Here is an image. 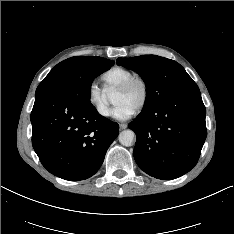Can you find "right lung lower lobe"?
Listing matches in <instances>:
<instances>
[{"mask_svg": "<svg viewBox=\"0 0 234 234\" xmlns=\"http://www.w3.org/2000/svg\"><path fill=\"white\" fill-rule=\"evenodd\" d=\"M31 123L32 145L42 165L65 180L94 175L119 134V125L92 104L63 93L36 96Z\"/></svg>", "mask_w": 234, "mask_h": 234, "instance_id": "98d812e1", "label": "right lung lower lobe"}]
</instances>
